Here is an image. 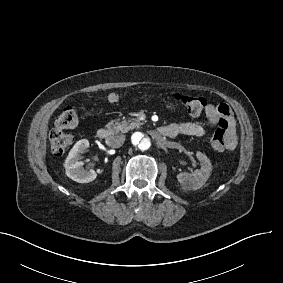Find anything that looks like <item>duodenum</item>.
<instances>
[{"instance_id":"1","label":"duodenum","mask_w":283,"mask_h":283,"mask_svg":"<svg viewBox=\"0 0 283 283\" xmlns=\"http://www.w3.org/2000/svg\"><path fill=\"white\" fill-rule=\"evenodd\" d=\"M154 133L162 137H172L173 133L167 127H158L154 129ZM111 136L110 129L101 127L97 130V137L101 140L107 139Z\"/></svg>"}]
</instances>
